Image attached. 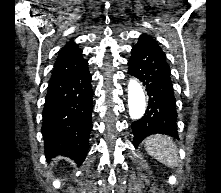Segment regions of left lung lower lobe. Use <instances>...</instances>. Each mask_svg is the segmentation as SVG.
I'll return each mask as SVG.
<instances>
[{"instance_id": "left-lung-lower-lobe-1", "label": "left lung lower lobe", "mask_w": 221, "mask_h": 193, "mask_svg": "<svg viewBox=\"0 0 221 193\" xmlns=\"http://www.w3.org/2000/svg\"><path fill=\"white\" fill-rule=\"evenodd\" d=\"M128 65V73L143 83L149 97L145 115L131 125L134 146L137 148L145 137L155 133L178 138L176 100L165 53L150 43L138 41Z\"/></svg>"}]
</instances>
